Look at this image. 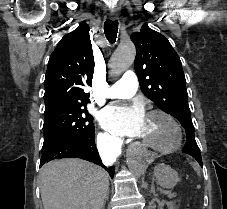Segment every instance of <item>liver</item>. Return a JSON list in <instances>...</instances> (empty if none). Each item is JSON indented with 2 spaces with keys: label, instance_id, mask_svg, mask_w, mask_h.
Instances as JSON below:
<instances>
[{
  "label": "liver",
  "instance_id": "obj_1",
  "mask_svg": "<svg viewBox=\"0 0 227 209\" xmlns=\"http://www.w3.org/2000/svg\"><path fill=\"white\" fill-rule=\"evenodd\" d=\"M39 179L44 209H102L109 189L106 171L82 159L50 161Z\"/></svg>",
  "mask_w": 227,
  "mask_h": 209
}]
</instances>
